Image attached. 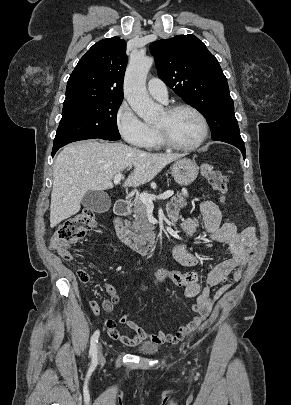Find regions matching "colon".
<instances>
[{"mask_svg":"<svg viewBox=\"0 0 291 405\" xmlns=\"http://www.w3.org/2000/svg\"><path fill=\"white\" fill-rule=\"evenodd\" d=\"M200 173L206 178L211 187L221 194V200H225L228 180L220 171H217L211 164L204 162L200 165ZM230 223V222H228ZM96 224L95 214L90 209H84L76 215L65 220L56 230L50 241V247L57 252L64 260L73 261L74 255L70 251V245L81 239ZM78 279L87 283L89 274L79 269ZM170 281L179 287H186L198 282L196 272H183L167 268H158L149 284L143 286L144 293H149L158 283Z\"/></svg>","mask_w":291,"mask_h":405,"instance_id":"colon-1","label":"colon"}]
</instances>
